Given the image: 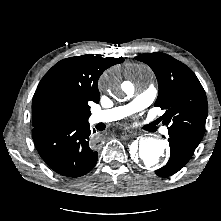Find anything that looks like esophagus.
Listing matches in <instances>:
<instances>
[{
    "label": "esophagus",
    "mask_w": 221,
    "mask_h": 221,
    "mask_svg": "<svg viewBox=\"0 0 221 221\" xmlns=\"http://www.w3.org/2000/svg\"><path fill=\"white\" fill-rule=\"evenodd\" d=\"M135 135H136V133L133 132V131H125V136H127V137H132V136H135Z\"/></svg>",
    "instance_id": "34e87169"
}]
</instances>
